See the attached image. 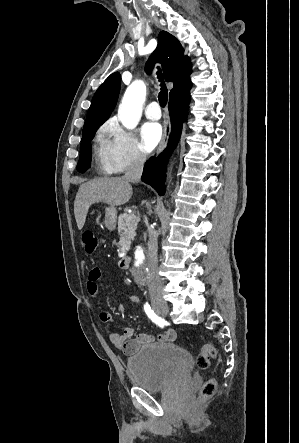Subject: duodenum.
Instances as JSON below:
<instances>
[{
	"instance_id": "obj_1",
	"label": "duodenum",
	"mask_w": 299,
	"mask_h": 443,
	"mask_svg": "<svg viewBox=\"0 0 299 443\" xmlns=\"http://www.w3.org/2000/svg\"><path fill=\"white\" fill-rule=\"evenodd\" d=\"M131 263V258L129 256L120 257L118 260V266L120 269H128Z\"/></svg>"
}]
</instances>
